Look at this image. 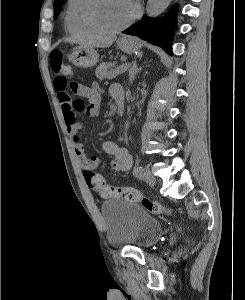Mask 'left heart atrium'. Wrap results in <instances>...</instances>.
Wrapping results in <instances>:
<instances>
[{
    "label": "left heart atrium",
    "mask_w": 245,
    "mask_h": 300,
    "mask_svg": "<svg viewBox=\"0 0 245 300\" xmlns=\"http://www.w3.org/2000/svg\"><path fill=\"white\" fill-rule=\"evenodd\" d=\"M130 2L132 3L133 6L135 5V4L133 3V0H130Z\"/></svg>",
    "instance_id": "1"
}]
</instances>
